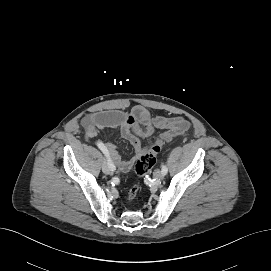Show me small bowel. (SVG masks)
<instances>
[{"label": "small bowel", "instance_id": "obj_1", "mask_svg": "<svg viewBox=\"0 0 271 271\" xmlns=\"http://www.w3.org/2000/svg\"><path fill=\"white\" fill-rule=\"evenodd\" d=\"M82 124L87 140L102 129H118L121 136L132 145L135 155L129 160H123L119 156L114 144L105 145L112 160L123 173L128 172L144 153L141 139L151 136L155 128L164 130L157 141L161 144L183 133L189 127V123L181 117L153 116L141 105L134 106L128 112L115 110L88 114L84 117Z\"/></svg>", "mask_w": 271, "mask_h": 271}]
</instances>
